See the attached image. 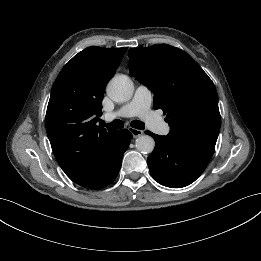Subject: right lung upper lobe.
<instances>
[{
    "instance_id": "1",
    "label": "right lung upper lobe",
    "mask_w": 261,
    "mask_h": 261,
    "mask_svg": "<svg viewBox=\"0 0 261 261\" xmlns=\"http://www.w3.org/2000/svg\"><path fill=\"white\" fill-rule=\"evenodd\" d=\"M126 50L88 47L63 67L52 87L47 135L57 162L74 182L97 167L118 133L97 122L106 85Z\"/></svg>"
}]
</instances>
